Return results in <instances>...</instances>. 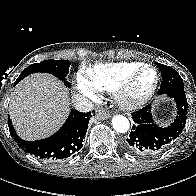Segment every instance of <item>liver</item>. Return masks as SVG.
Instances as JSON below:
<instances>
[{
  "label": "liver",
  "mask_w": 196,
  "mask_h": 196,
  "mask_svg": "<svg viewBox=\"0 0 196 196\" xmlns=\"http://www.w3.org/2000/svg\"><path fill=\"white\" fill-rule=\"evenodd\" d=\"M68 89L56 77L36 73L23 79L14 89L9 114L20 137L41 139L53 134L69 112Z\"/></svg>",
  "instance_id": "1"
}]
</instances>
